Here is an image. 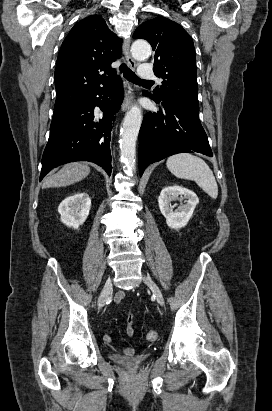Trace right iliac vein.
Returning a JSON list of instances; mask_svg holds the SVG:
<instances>
[{"label":"right iliac vein","instance_id":"1","mask_svg":"<svg viewBox=\"0 0 272 411\" xmlns=\"http://www.w3.org/2000/svg\"><path fill=\"white\" fill-rule=\"evenodd\" d=\"M111 288H112V283H111V280L108 279V280L105 282L104 288H103L102 293H101V295H100V297H99V300H98V309H102V308L104 307V305L106 304V300H107V297H108V295H109V293H110V291H111Z\"/></svg>","mask_w":272,"mask_h":411}]
</instances>
